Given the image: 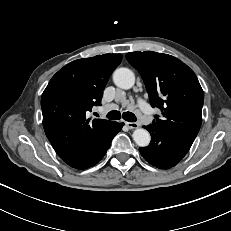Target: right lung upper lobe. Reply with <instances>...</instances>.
<instances>
[{
	"label": "right lung upper lobe",
	"mask_w": 231,
	"mask_h": 231,
	"mask_svg": "<svg viewBox=\"0 0 231 231\" xmlns=\"http://www.w3.org/2000/svg\"><path fill=\"white\" fill-rule=\"evenodd\" d=\"M121 60V54H104L72 61L52 77L42 94L44 131L59 157L71 167L105 140L115 124L101 119L90 122L86 112L101 105L104 87Z\"/></svg>",
	"instance_id": "cb5924a9"
}]
</instances>
